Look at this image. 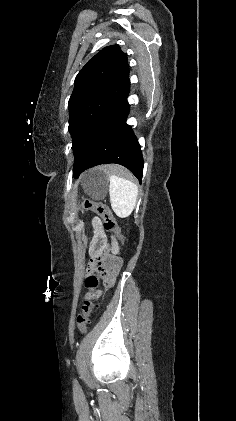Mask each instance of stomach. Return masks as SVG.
I'll use <instances>...</instances> for the list:
<instances>
[{
	"label": "stomach",
	"instance_id": "stomach-1",
	"mask_svg": "<svg viewBox=\"0 0 236 421\" xmlns=\"http://www.w3.org/2000/svg\"><path fill=\"white\" fill-rule=\"evenodd\" d=\"M109 176L101 168H92L83 174V188L85 192L94 198V200H102L107 194Z\"/></svg>",
	"mask_w": 236,
	"mask_h": 421
}]
</instances>
